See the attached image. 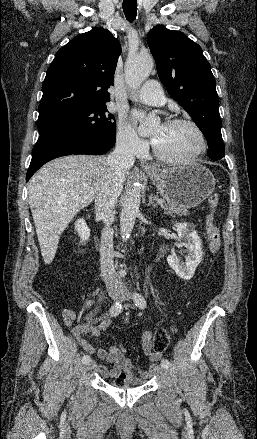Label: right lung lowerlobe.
Masks as SVG:
<instances>
[{"label": "right lung lower lobe", "mask_w": 257, "mask_h": 439, "mask_svg": "<svg viewBox=\"0 0 257 439\" xmlns=\"http://www.w3.org/2000/svg\"><path fill=\"white\" fill-rule=\"evenodd\" d=\"M115 139L83 130L61 128L40 135L32 152L26 181L46 162L65 155H101L109 151Z\"/></svg>", "instance_id": "98d812e1"}]
</instances>
